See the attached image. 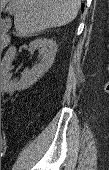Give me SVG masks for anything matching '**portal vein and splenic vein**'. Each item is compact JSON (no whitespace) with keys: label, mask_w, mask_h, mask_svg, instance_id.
I'll return each mask as SVG.
<instances>
[{"label":"portal vein and splenic vein","mask_w":109,"mask_h":170,"mask_svg":"<svg viewBox=\"0 0 109 170\" xmlns=\"http://www.w3.org/2000/svg\"><path fill=\"white\" fill-rule=\"evenodd\" d=\"M9 12L13 13V14H16L17 13V10L15 8L9 10Z\"/></svg>","instance_id":"obj_1"}]
</instances>
